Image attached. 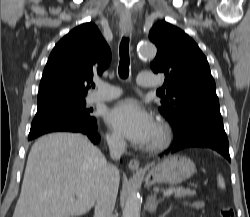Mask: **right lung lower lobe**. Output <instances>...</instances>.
Segmentation results:
<instances>
[{
	"instance_id": "1",
	"label": "right lung lower lobe",
	"mask_w": 250,
	"mask_h": 217,
	"mask_svg": "<svg viewBox=\"0 0 250 217\" xmlns=\"http://www.w3.org/2000/svg\"><path fill=\"white\" fill-rule=\"evenodd\" d=\"M79 133L85 134L89 137V139L93 142V143H98L100 141V136L97 133V126H95L93 129L89 130V131H77Z\"/></svg>"
}]
</instances>
